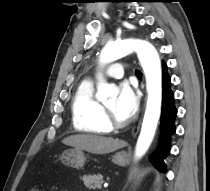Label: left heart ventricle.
Returning <instances> with one entry per match:
<instances>
[{
  "label": "left heart ventricle",
  "instance_id": "1",
  "mask_svg": "<svg viewBox=\"0 0 210 191\" xmlns=\"http://www.w3.org/2000/svg\"><path fill=\"white\" fill-rule=\"evenodd\" d=\"M116 98L112 99L110 102L106 103V107L109 108L115 115L116 117L119 119V120H124L122 117H120L117 112H116Z\"/></svg>",
  "mask_w": 210,
  "mask_h": 191
}]
</instances>
